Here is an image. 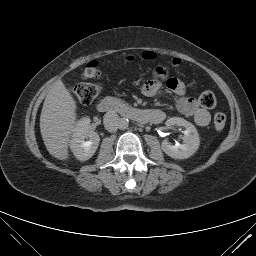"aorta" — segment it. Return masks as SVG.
I'll return each instance as SVG.
<instances>
[{
	"label": "aorta",
	"instance_id": "aorta-1",
	"mask_svg": "<svg viewBox=\"0 0 256 256\" xmlns=\"http://www.w3.org/2000/svg\"><path fill=\"white\" fill-rule=\"evenodd\" d=\"M129 125V120L127 118H120L119 129H127Z\"/></svg>",
	"mask_w": 256,
	"mask_h": 256
}]
</instances>
